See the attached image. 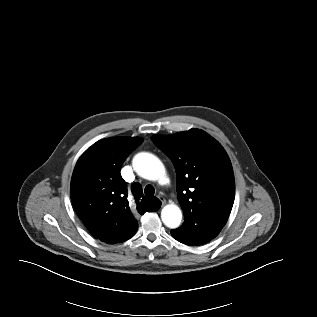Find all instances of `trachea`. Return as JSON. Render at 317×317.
<instances>
[{
    "mask_svg": "<svg viewBox=\"0 0 317 317\" xmlns=\"http://www.w3.org/2000/svg\"><path fill=\"white\" fill-rule=\"evenodd\" d=\"M144 193L146 196H153L155 193V189L152 185H147L145 187Z\"/></svg>",
    "mask_w": 317,
    "mask_h": 317,
    "instance_id": "1",
    "label": "trachea"
}]
</instances>
